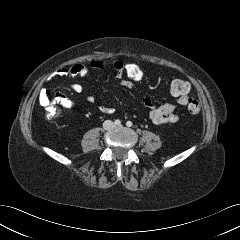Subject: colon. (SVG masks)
I'll return each instance as SVG.
<instances>
[{
  "label": "colon",
  "mask_w": 240,
  "mask_h": 240,
  "mask_svg": "<svg viewBox=\"0 0 240 240\" xmlns=\"http://www.w3.org/2000/svg\"><path fill=\"white\" fill-rule=\"evenodd\" d=\"M123 75L132 83H136L140 82L144 78L145 70L139 62L128 61L124 63ZM190 89L191 84L189 81L186 80L175 79L170 84V93L173 97L188 95ZM187 109L191 114H197L201 111V106L197 100L189 98L187 101ZM57 115L58 110H56L55 108L48 109L49 117H56Z\"/></svg>",
  "instance_id": "1"
}]
</instances>
